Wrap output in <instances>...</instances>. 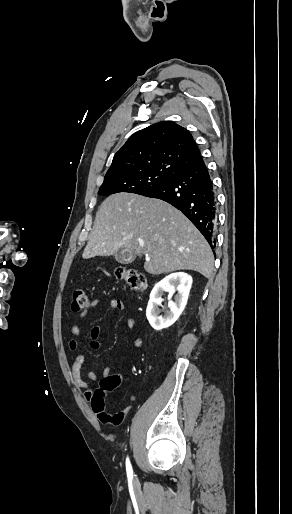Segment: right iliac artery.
<instances>
[{
	"label": "right iliac artery",
	"instance_id": "right-iliac-artery-1",
	"mask_svg": "<svg viewBox=\"0 0 292 514\" xmlns=\"http://www.w3.org/2000/svg\"><path fill=\"white\" fill-rule=\"evenodd\" d=\"M126 471H127V475H128L129 477H132V475H133V470H132V466H131V464H130V461H129V458H128V457H127V459H126Z\"/></svg>",
	"mask_w": 292,
	"mask_h": 514
}]
</instances>
